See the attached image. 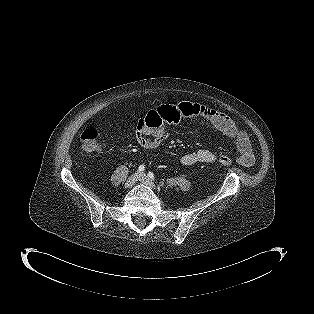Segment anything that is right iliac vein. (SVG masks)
Segmentation results:
<instances>
[{
	"label": "right iliac vein",
	"mask_w": 314,
	"mask_h": 314,
	"mask_svg": "<svg viewBox=\"0 0 314 314\" xmlns=\"http://www.w3.org/2000/svg\"><path fill=\"white\" fill-rule=\"evenodd\" d=\"M137 179H138V174H137V173L131 175V176L127 179V181H126V183H125V187H126V188H131V187L136 183Z\"/></svg>",
	"instance_id": "1"
}]
</instances>
